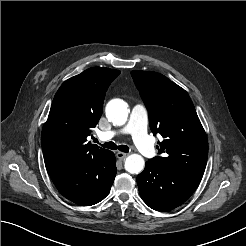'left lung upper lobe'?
Returning <instances> with one entry per match:
<instances>
[{
	"instance_id": "1",
	"label": "left lung upper lobe",
	"mask_w": 246,
	"mask_h": 246,
	"mask_svg": "<svg viewBox=\"0 0 246 246\" xmlns=\"http://www.w3.org/2000/svg\"><path fill=\"white\" fill-rule=\"evenodd\" d=\"M132 78L149 113L150 128L164 140L148 162L203 174L208 141L188 93L164 75L133 70Z\"/></svg>"
}]
</instances>
